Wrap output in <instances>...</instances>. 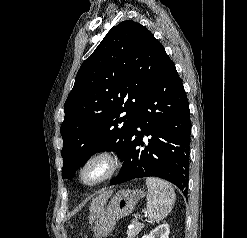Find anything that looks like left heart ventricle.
Instances as JSON below:
<instances>
[{"instance_id":"1","label":"left heart ventricle","mask_w":247,"mask_h":238,"mask_svg":"<svg viewBox=\"0 0 247 238\" xmlns=\"http://www.w3.org/2000/svg\"><path fill=\"white\" fill-rule=\"evenodd\" d=\"M105 171V165L102 163H96L92 165L87 171H86V178L88 180H93L102 175Z\"/></svg>"}]
</instances>
